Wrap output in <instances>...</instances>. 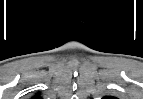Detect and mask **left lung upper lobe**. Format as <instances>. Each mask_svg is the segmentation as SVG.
<instances>
[{"instance_id": "1", "label": "left lung upper lobe", "mask_w": 143, "mask_h": 99, "mask_svg": "<svg viewBox=\"0 0 143 99\" xmlns=\"http://www.w3.org/2000/svg\"><path fill=\"white\" fill-rule=\"evenodd\" d=\"M109 98L110 99H114V97H109V96L108 97H104V99H109Z\"/></svg>"}]
</instances>
